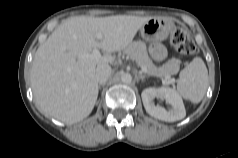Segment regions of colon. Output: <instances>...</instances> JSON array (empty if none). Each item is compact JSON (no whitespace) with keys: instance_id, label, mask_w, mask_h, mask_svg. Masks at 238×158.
Instances as JSON below:
<instances>
[{"instance_id":"obj_1","label":"colon","mask_w":238,"mask_h":158,"mask_svg":"<svg viewBox=\"0 0 238 158\" xmlns=\"http://www.w3.org/2000/svg\"><path fill=\"white\" fill-rule=\"evenodd\" d=\"M171 43L176 50L183 55H193L197 51L188 32L179 27H174L171 33Z\"/></svg>"}]
</instances>
